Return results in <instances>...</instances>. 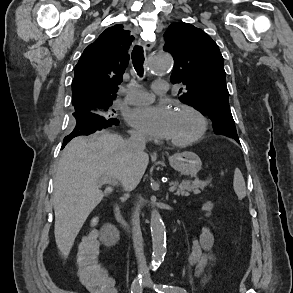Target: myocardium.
I'll return each mask as SVG.
<instances>
[{
  "mask_svg": "<svg viewBox=\"0 0 293 293\" xmlns=\"http://www.w3.org/2000/svg\"><path fill=\"white\" fill-rule=\"evenodd\" d=\"M178 112H185L188 113L190 115H192L193 117H195V119L198 122V129L196 131V133L191 136L190 138L184 139V140H175V141H170L168 140V144L170 146H175V147H187L190 146L196 142H198L199 140H201L203 138V136L205 135L207 128H208V123H207V119L205 118V116L199 112L197 109L188 106V105H181L177 108Z\"/></svg>",
  "mask_w": 293,
  "mask_h": 293,
  "instance_id": "obj_1",
  "label": "myocardium"
}]
</instances>
